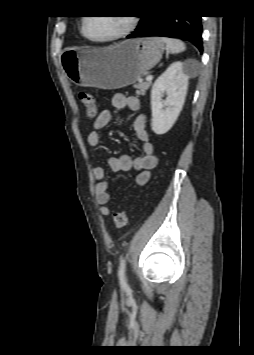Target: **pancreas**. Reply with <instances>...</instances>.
Here are the masks:
<instances>
[{
  "instance_id": "obj_1",
  "label": "pancreas",
  "mask_w": 254,
  "mask_h": 355,
  "mask_svg": "<svg viewBox=\"0 0 254 355\" xmlns=\"http://www.w3.org/2000/svg\"><path fill=\"white\" fill-rule=\"evenodd\" d=\"M151 86V81L148 82H141L136 84L134 87L137 89L136 94L138 96H144L146 94V91L149 89Z\"/></svg>"
}]
</instances>
